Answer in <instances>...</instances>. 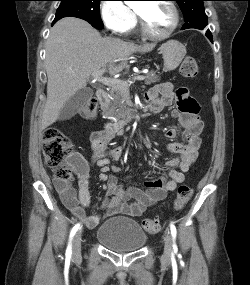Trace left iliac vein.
<instances>
[{
    "label": "left iliac vein",
    "instance_id": "4c4485c4",
    "mask_svg": "<svg viewBox=\"0 0 250 285\" xmlns=\"http://www.w3.org/2000/svg\"><path fill=\"white\" fill-rule=\"evenodd\" d=\"M171 252H172V237L168 231L165 233V236H164V254H163V257L165 259H169L171 256Z\"/></svg>",
    "mask_w": 250,
    "mask_h": 285
}]
</instances>
